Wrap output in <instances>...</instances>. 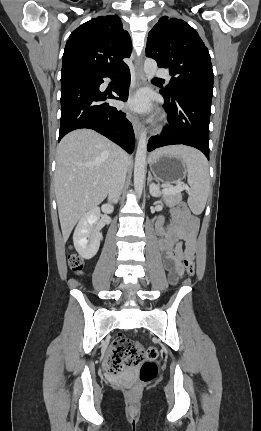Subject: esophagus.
<instances>
[{
    "label": "esophagus",
    "instance_id": "obj_1",
    "mask_svg": "<svg viewBox=\"0 0 261 431\" xmlns=\"http://www.w3.org/2000/svg\"><path fill=\"white\" fill-rule=\"evenodd\" d=\"M135 73H136L135 88H140L141 86H143L145 84V74L143 71L142 62L135 64ZM127 118L132 123L135 136L138 139L140 134H141V129H142L140 119L131 112H127Z\"/></svg>",
    "mask_w": 261,
    "mask_h": 431
}]
</instances>
